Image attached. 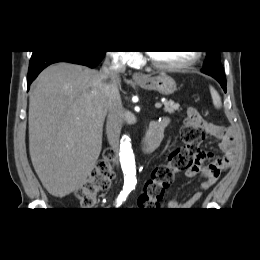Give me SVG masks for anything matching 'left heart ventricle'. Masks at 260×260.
<instances>
[{
	"instance_id": "b2bd125f",
	"label": "left heart ventricle",
	"mask_w": 260,
	"mask_h": 260,
	"mask_svg": "<svg viewBox=\"0 0 260 260\" xmlns=\"http://www.w3.org/2000/svg\"><path fill=\"white\" fill-rule=\"evenodd\" d=\"M151 55L154 59L163 64H179L191 59L194 55L192 51H153Z\"/></svg>"
}]
</instances>
